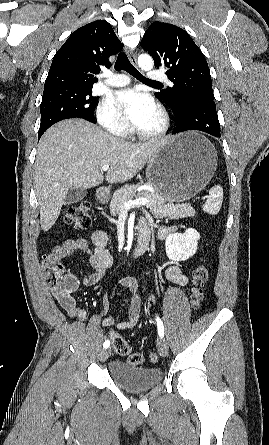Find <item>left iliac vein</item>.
<instances>
[{
	"mask_svg": "<svg viewBox=\"0 0 269 445\" xmlns=\"http://www.w3.org/2000/svg\"><path fill=\"white\" fill-rule=\"evenodd\" d=\"M158 351L160 355L167 356L168 355V345L164 339H159L158 341Z\"/></svg>",
	"mask_w": 269,
	"mask_h": 445,
	"instance_id": "obj_1",
	"label": "left iliac vein"
}]
</instances>
